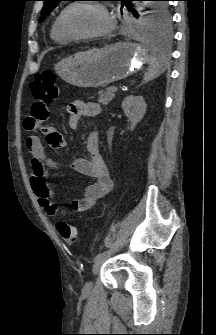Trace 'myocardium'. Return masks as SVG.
<instances>
[{"label": "myocardium", "mask_w": 216, "mask_h": 335, "mask_svg": "<svg viewBox=\"0 0 216 335\" xmlns=\"http://www.w3.org/2000/svg\"><path fill=\"white\" fill-rule=\"evenodd\" d=\"M82 5H94L96 7H98L103 13L104 15L107 17L108 19V26L106 29H104L103 31H99V32H94V33H75L72 32L71 30H69V28L67 27L66 24V20H67V16L68 14L76 7L78 6H82ZM115 18L113 17V15L109 12V10L106 8L105 5H103L102 3L98 2V1H87V2H73L71 4H69L61 13L60 18H59V28L61 30V32L69 39L71 40H84V39H97V38H101L104 37L106 35H108L109 33H111L113 31V29L115 28Z\"/></svg>", "instance_id": "obj_1"}]
</instances>
